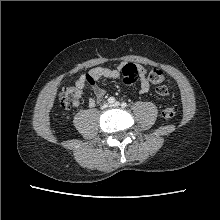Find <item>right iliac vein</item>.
Returning a JSON list of instances; mask_svg holds the SVG:
<instances>
[{"mask_svg": "<svg viewBox=\"0 0 220 220\" xmlns=\"http://www.w3.org/2000/svg\"><path fill=\"white\" fill-rule=\"evenodd\" d=\"M107 107H108V104H104V105H103V108H107Z\"/></svg>", "mask_w": 220, "mask_h": 220, "instance_id": "63e3f726", "label": "right iliac vein"}]
</instances>
